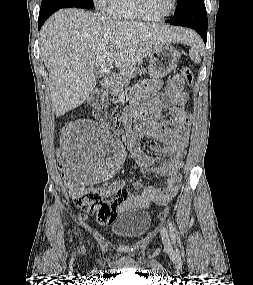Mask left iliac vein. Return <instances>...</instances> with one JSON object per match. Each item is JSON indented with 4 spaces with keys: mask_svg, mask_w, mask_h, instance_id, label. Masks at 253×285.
I'll return each mask as SVG.
<instances>
[{
    "mask_svg": "<svg viewBox=\"0 0 253 285\" xmlns=\"http://www.w3.org/2000/svg\"><path fill=\"white\" fill-rule=\"evenodd\" d=\"M161 236H162V241H163L164 246L170 247L169 235L165 228L162 229Z\"/></svg>",
    "mask_w": 253,
    "mask_h": 285,
    "instance_id": "1",
    "label": "left iliac vein"
}]
</instances>
